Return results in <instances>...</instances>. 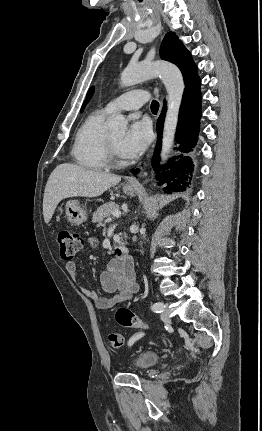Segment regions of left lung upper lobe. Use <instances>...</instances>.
<instances>
[{
  "label": "left lung upper lobe",
  "mask_w": 262,
  "mask_h": 431,
  "mask_svg": "<svg viewBox=\"0 0 262 431\" xmlns=\"http://www.w3.org/2000/svg\"><path fill=\"white\" fill-rule=\"evenodd\" d=\"M160 57L180 68L185 86L199 80L197 67L192 60L191 54L174 33L170 32L165 36L160 48Z\"/></svg>",
  "instance_id": "left-lung-upper-lobe-1"
}]
</instances>
